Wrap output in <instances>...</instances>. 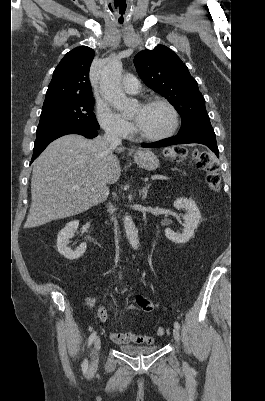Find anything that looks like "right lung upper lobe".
<instances>
[{
	"label": "right lung upper lobe",
	"mask_w": 265,
	"mask_h": 401,
	"mask_svg": "<svg viewBox=\"0 0 265 401\" xmlns=\"http://www.w3.org/2000/svg\"><path fill=\"white\" fill-rule=\"evenodd\" d=\"M94 51L86 46L68 52L53 72L43 105L56 101L92 96L89 69Z\"/></svg>",
	"instance_id": "right-lung-upper-lobe-1"
}]
</instances>
